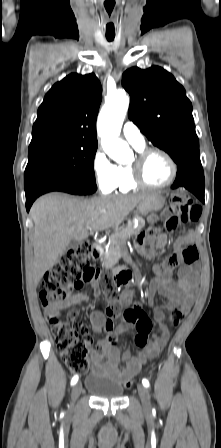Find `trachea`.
I'll return each mask as SVG.
<instances>
[{"label":"trachea","mask_w":221,"mask_h":448,"mask_svg":"<svg viewBox=\"0 0 221 448\" xmlns=\"http://www.w3.org/2000/svg\"><path fill=\"white\" fill-rule=\"evenodd\" d=\"M106 38L109 42L114 40V36L107 35Z\"/></svg>","instance_id":"trachea-1"}]
</instances>
